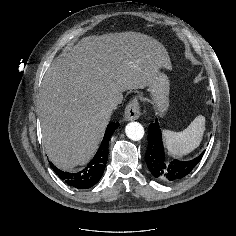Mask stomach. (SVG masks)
<instances>
[{"mask_svg":"<svg viewBox=\"0 0 236 236\" xmlns=\"http://www.w3.org/2000/svg\"><path fill=\"white\" fill-rule=\"evenodd\" d=\"M169 89L170 84L168 77L159 70L154 76L148 90L152 94L154 108L161 116L166 112L169 106Z\"/></svg>","mask_w":236,"mask_h":236,"instance_id":"0dacf381","label":"stomach"}]
</instances>
